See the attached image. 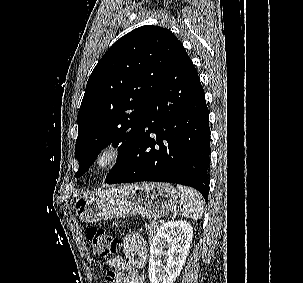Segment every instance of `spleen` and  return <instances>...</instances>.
I'll use <instances>...</instances> for the list:
<instances>
[{"mask_svg":"<svg viewBox=\"0 0 303 283\" xmlns=\"http://www.w3.org/2000/svg\"><path fill=\"white\" fill-rule=\"evenodd\" d=\"M177 189L181 214L186 218L201 219L204 212V201L200 193L181 185H178Z\"/></svg>","mask_w":303,"mask_h":283,"instance_id":"obj_1","label":"spleen"}]
</instances>
